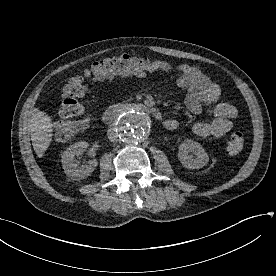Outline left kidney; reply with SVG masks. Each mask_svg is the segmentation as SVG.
Here are the masks:
<instances>
[{
  "label": "left kidney",
  "mask_w": 276,
  "mask_h": 276,
  "mask_svg": "<svg viewBox=\"0 0 276 276\" xmlns=\"http://www.w3.org/2000/svg\"><path fill=\"white\" fill-rule=\"evenodd\" d=\"M178 158L181 164L188 169H199L209 161L205 149L193 140H186L179 145Z\"/></svg>",
  "instance_id": "obj_1"
}]
</instances>
